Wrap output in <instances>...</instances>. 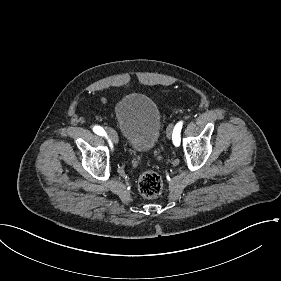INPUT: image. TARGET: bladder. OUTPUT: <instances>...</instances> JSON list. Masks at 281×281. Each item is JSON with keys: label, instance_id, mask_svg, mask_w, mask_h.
Instances as JSON below:
<instances>
[{"label": "bladder", "instance_id": "31cf9c89", "mask_svg": "<svg viewBox=\"0 0 281 281\" xmlns=\"http://www.w3.org/2000/svg\"><path fill=\"white\" fill-rule=\"evenodd\" d=\"M113 117L120 136L131 150L145 154L159 145L164 120L150 94L136 92L121 97L114 105Z\"/></svg>", "mask_w": 281, "mask_h": 281}]
</instances>
